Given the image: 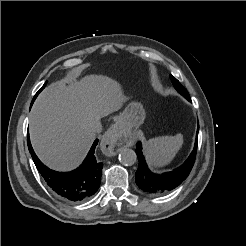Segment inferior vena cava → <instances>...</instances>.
I'll use <instances>...</instances> for the list:
<instances>
[{
  "label": "inferior vena cava",
  "instance_id": "602c4592",
  "mask_svg": "<svg viewBox=\"0 0 246 246\" xmlns=\"http://www.w3.org/2000/svg\"><path fill=\"white\" fill-rule=\"evenodd\" d=\"M89 129L92 133H100L102 130V124L100 122V118H94L89 123Z\"/></svg>",
  "mask_w": 246,
  "mask_h": 246
}]
</instances>
